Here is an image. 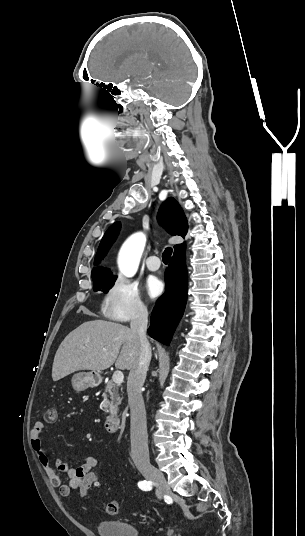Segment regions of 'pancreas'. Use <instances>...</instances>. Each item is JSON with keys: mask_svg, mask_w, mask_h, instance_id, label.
Here are the masks:
<instances>
[{"mask_svg": "<svg viewBox=\"0 0 305 536\" xmlns=\"http://www.w3.org/2000/svg\"><path fill=\"white\" fill-rule=\"evenodd\" d=\"M119 386L113 384L112 380L108 382L105 392H103L104 402L102 404L103 412H117L119 404H121V398L118 394ZM109 400H108V396Z\"/></svg>", "mask_w": 305, "mask_h": 536, "instance_id": "cf45deb5", "label": "pancreas"}]
</instances>
